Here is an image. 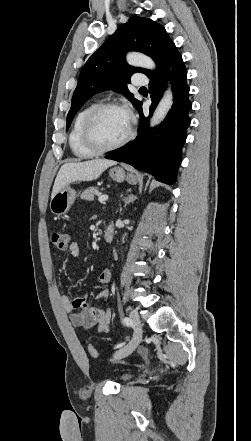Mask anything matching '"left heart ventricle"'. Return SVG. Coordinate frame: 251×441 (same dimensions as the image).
<instances>
[{
    "instance_id": "obj_1",
    "label": "left heart ventricle",
    "mask_w": 251,
    "mask_h": 441,
    "mask_svg": "<svg viewBox=\"0 0 251 441\" xmlns=\"http://www.w3.org/2000/svg\"><path fill=\"white\" fill-rule=\"evenodd\" d=\"M129 117L119 109H107L93 120L91 132L93 139L101 146L112 145L121 140L128 132Z\"/></svg>"
}]
</instances>
